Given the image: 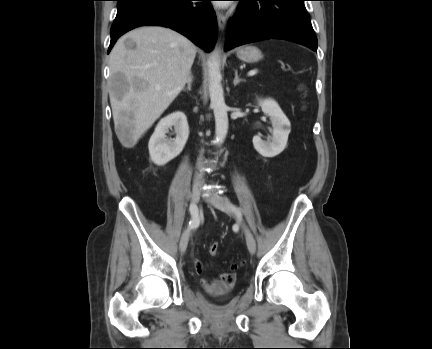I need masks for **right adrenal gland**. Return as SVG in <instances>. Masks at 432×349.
Wrapping results in <instances>:
<instances>
[{
    "instance_id": "1",
    "label": "right adrenal gland",
    "mask_w": 432,
    "mask_h": 349,
    "mask_svg": "<svg viewBox=\"0 0 432 349\" xmlns=\"http://www.w3.org/2000/svg\"><path fill=\"white\" fill-rule=\"evenodd\" d=\"M192 82H193V75L190 73L188 78H187V87H184L183 90H187V91H191V87H192Z\"/></svg>"
}]
</instances>
